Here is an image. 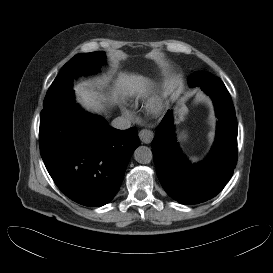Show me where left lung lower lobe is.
<instances>
[{"mask_svg":"<svg viewBox=\"0 0 273 273\" xmlns=\"http://www.w3.org/2000/svg\"><path fill=\"white\" fill-rule=\"evenodd\" d=\"M213 100L218 118L214 146L207 158L190 164L181 153L174 132L172 111L156 128L152 152L158 179L167 194L181 204L205 202L223 190L237 162V119L224 83L200 72L196 83Z\"/></svg>","mask_w":273,"mask_h":273,"instance_id":"obj_1","label":"left lung lower lobe"}]
</instances>
